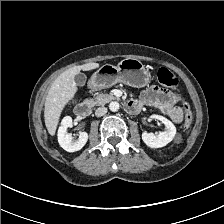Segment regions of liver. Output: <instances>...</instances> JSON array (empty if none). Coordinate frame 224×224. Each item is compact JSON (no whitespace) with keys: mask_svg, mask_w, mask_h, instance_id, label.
Here are the masks:
<instances>
[{"mask_svg":"<svg viewBox=\"0 0 224 224\" xmlns=\"http://www.w3.org/2000/svg\"><path fill=\"white\" fill-rule=\"evenodd\" d=\"M99 67L98 63H87L72 67L60 74L51 85L45 101L44 120L48 133L53 136L59 122L60 115L77 92L75 76L83 71H90Z\"/></svg>","mask_w":224,"mask_h":224,"instance_id":"obj_1","label":"liver"}]
</instances>
